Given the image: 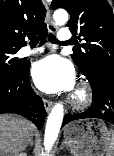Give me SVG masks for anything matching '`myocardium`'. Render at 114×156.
Instances as JSON below:
<instances>
[{
	"instance_id": "obj_1",
	"label": "myocardium",
	"mask_w": 114,
	"mask_h": 156,
	"mask_svg": "<svg viewBox=\"0 0 114 156\" xmlns=\"http://www.w3.org/2000/svg\"><path fill=\"white\" fill-rule=\"evenodd\" d=\"M92 100L89 87L85 84L79 85L70 97V104L76 109L86 108Z\"/></svg>"
}]
</instances>
